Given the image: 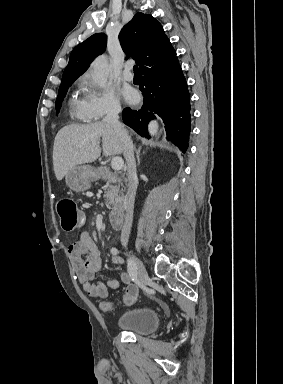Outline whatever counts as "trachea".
I'll return each mask as SVG.
<instances>
[{"label":"trachea","instance_id":"trachea-1","mask_svg":"<svg viewBox=\"0 0 283 384\" xmlns=\"http://www.w3.org/2000/svg\"><path fill=\"white\" fill-rule=\"evenodd\" d=\"M133 70L134 74H138V65H134Z\"/></svg>","mask_w":283,"mask_h":384}]
</instances>
